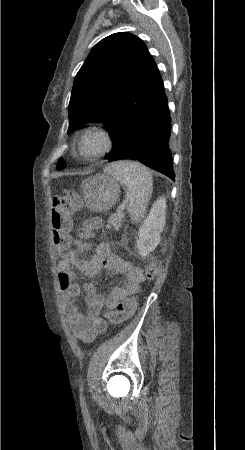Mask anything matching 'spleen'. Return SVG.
Segmentation results:
<instances>
[{
    "label": "spleen",
    "mask_w": 245,
    "mask_h": 450,
    "mask_svg": "<svg viewBox=\"0 0 245 450\" xmlns=\"http://www.w3.org/2000/svg\"><path fill=\"white\" fill-rule=\"evenodd\" d=\"M104 172L127 188L128 212L132 222H139L146 213L153 189V178L147 167L138 162L119 161L105 167Z\"/></svg>",
    "instance_id": "1"
}]
</instances>
